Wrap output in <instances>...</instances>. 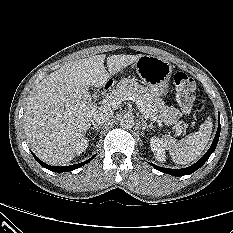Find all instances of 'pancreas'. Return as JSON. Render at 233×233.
Segmentation results:
<instances>
[{
  "instance_id": "cf45deb5",
  "label": "pancreas",
  "mask_w": 233,
  "mask_h": 233,
  "mask_svg": "<svg viewBox=\"0 0 233 233\" xmlns=\"http://www.w3.org/2000/svg\"><path fill=\"white\" fill-rule=\"evenodd\" d=\"M113 93L121 100L132 98L135 102L140 101L149 111V118L152 121H161L166 125H172L176 124L181 116L178 109L167 107L153 91L132 80H121Z\"/></svg>"
}]
</instances>
